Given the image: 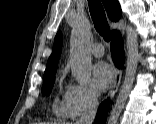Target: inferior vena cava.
I'll return each mask as SVG.
<instances>
[{"mask_svg":"<svg viewBox=\"0 0 156 124\" xmlns=\"http://www.w3.org/2000/svg\"><path fill=\"white\" fill-rule=\"evenodd\" d=\"M98 100L96 95H92L86 102L83 113L76 124H92L95 118Z\"/></svg>","mask_w":156,"mask_h":124,"instance_id":"1","label":"inferior vena cava"}]
</instances>
